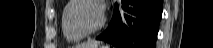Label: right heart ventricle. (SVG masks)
Returning a JSON list of instances; mask_svg holds the SVG:
<instances>
[{
  "mask_svg": "<svg viewBox=\"0 0 213 48\" xmlns=\"http://www.w3.org/2000/svg\"><path fill=\"white\" fill-rule=\"evenodd\" d=\"M73 0L67 1L62 8V15H61V31L66 41L70 43H75L83 39V36L78 34L69 24L68 21V11L70 8V5Z\"/></svg>",
  "mask_w": 213,
  "mask_h": 48,
  "instance_id": "1",
  "label": "right heart ventricle"
}]
</instances>
